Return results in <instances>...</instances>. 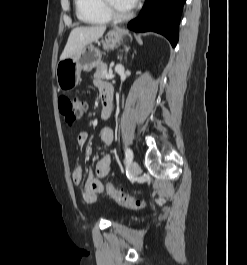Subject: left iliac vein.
Listing matches in <instances>:
<instances>
[{
	"mask_svg": "<svg viewBox=\"0 0 247 265\" xmlns=\"http://www.w3.org/2000/svg\"><path fill=\"white\" fill-rule=\"evenodd\" d=\"M140 172V167L136 161H132L130 164V173L133 177L137 176Z\"/></svg>",
	"mask_w": 247,
	"mask_h": 265,
	"instance_id": "1",
	"label": "left iliac vein"
}]
</instances>
